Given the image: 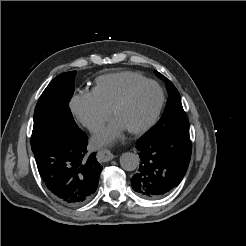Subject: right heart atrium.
<instances>
[{
	"label": "right heart atrium",
	"instance_id": "obj_1",
	"mask_svg": "<svg viewBox=\"0 0 246 246\" xmlns=\"http://www.w3.org/2000/svg\"><path fill=\"white\" fill-rule=\"evenodd\" d=\"M74 118L90 131H96L108 120L110 111L103 108L92 92L79 91L70 101Z\"/></svg>",
	"mask_w": 246,
	"mask_h": 246
}]
</instances>
